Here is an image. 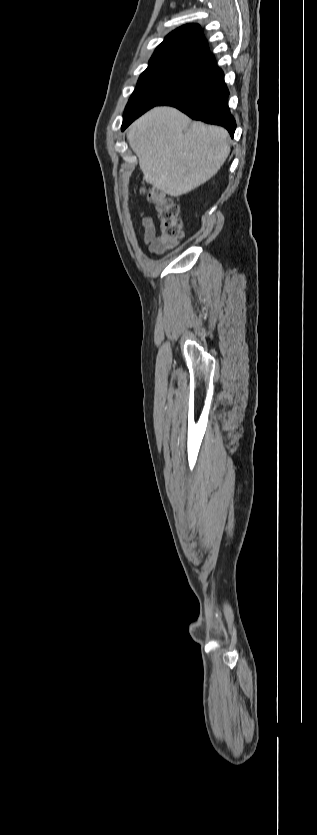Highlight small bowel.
Wrapping results in <instances>:
<instances>
[{
    "mask_svg": "<svg viewBox=\"0 0 317 835\" xmlns=\"http://www.w3.org/2000/svg\"><path fill=\"white\" fill-rule=\"evenodd\" d=\"M142 225L144 229V241L150 244V248L153 252H162L164 249L160 245L161 236L156 233L153 219L149 216L143 215Z\"/></svg>",
    "mask_w": 317,
    "mask_h": 835,
    "instance_id": "small-bowel-1",
    "label": "small bowel"
}]
</instances>
